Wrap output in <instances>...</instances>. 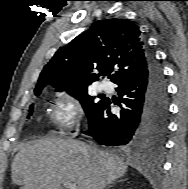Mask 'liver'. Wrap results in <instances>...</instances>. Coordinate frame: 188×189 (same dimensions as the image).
I'll return each mask as SVG.
<instances>
[{
	"label": "liver",
	"mask_w": 188,
	"mask_h": 189,
	"mask_svg": "<svg viewBox=\"0 0 188 189\" xmlns=\"http://www.w3.org/2000/svg\"><path fill=\"white\" fill-rule=\"evenodd\" d=\"M127 167L114 154L83 142L47 137L20 147L11 178L20 189H61L63 182L75 183L78 189H104L123 176Z\"/></svg>",
	"instance_id": "1"
}]
</instances>
